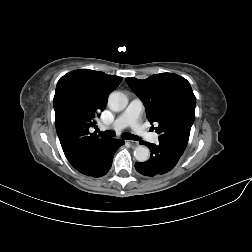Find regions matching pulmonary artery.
<instances>
[{"label": "pulmonary artery", "mask_w": 252, "mask_h": 252, "mask_svg": "<svg viewBox=\"0 0 252 252\" xmlns=\"http://www.w3.org/2000/svg\"><path fill=\"white\" fill-rule=\"evenodd\" d=\"M143 109V103L139 99H133L127 108L117 117L113 123L114 129H122L126 126H131L133 131L143 138H150L153 142L158 140L157 134H150L139 123V117ZM101 129H106L105 126H101Z\"/></svg>", "instance_id": "pulmonary-artery-1"}]
</instances>
